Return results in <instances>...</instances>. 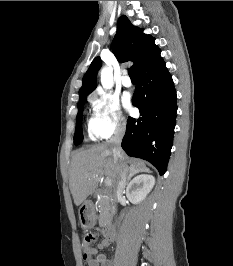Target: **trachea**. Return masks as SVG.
I'll return each instance as SVG.
<instances>
[{
	"label": "trachea",
	"mask_w": 233,
	"mask_h": 266,
	"mask_svg": "<svg viewBox=\"0 0 233 266\" xmlns=\"http://www.w3.org/2000/svg\"><path fill=\"white\" fill-rule=\"evenodd\" d=\"M128 74H129L131 79H135V74H134V70L133 69H129L128 70Z\"/></svg>",
	"instance_id": "1"
}]
</instances>
